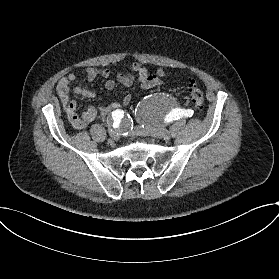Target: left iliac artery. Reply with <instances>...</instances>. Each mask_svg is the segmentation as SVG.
Wrapping results in <instances>:
<instances>
[{
    "instance_id": "left-iliac-artery-1",
    "label": "left iliac artery",
    "mask_w": 279,
    "mask_h": 279,
    "mask_svg": "<svg viewBox=\"0 0 279 279\" xmlns=\"http://www.w3.org/2000/svg\"><path fill=\"white\" fill-rule=\"evenodd\" d=\"M194 111L191 109L183 110V109H174L173 112H170L166 118V122H171L173 120H178L181 117H191Z\"/></svg>"
}]
</instances>
